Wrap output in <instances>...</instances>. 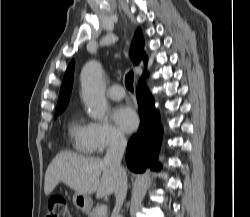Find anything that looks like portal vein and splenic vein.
<instances>
[{"mask_svg":"<svg viewBox=\"0 0 250 217\" xmlns=\"http://www.w3.org/2000/svg\"><path fill=\"white\" fill-rule=\"evenodd\" d=\"M107 213V206L106 205H101L98 210H97V214L98 215H102Z\"/></svg>","mask_w":250,"mask_h":217,"instance_id":"1","label":"portal vein and splenic vein"}]
</instances>
